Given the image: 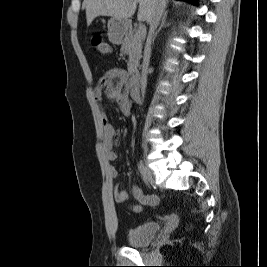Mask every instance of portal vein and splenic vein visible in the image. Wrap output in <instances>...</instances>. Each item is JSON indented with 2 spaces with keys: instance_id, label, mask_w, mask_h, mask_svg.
<instances>
[{
  "instance_id": "portal-vein-and-splenic-vein-1",
  "label": "portal vein and splenic vein",
  "mask_w": 267,
  "mask_h": 267,
  "mask_svg": "<svg viewBox=\"0 0 267 267\" xmlns=\"http://www.w3.org/2000/svg\"><path fill=\"white\" fill-rule=\"evenodd\" d=\"M137 37L140 38V39H144L145 38V35H146V28L144 25H140L139 28H138V31L136 33Z\"/></svg>"
}]
</instances>
